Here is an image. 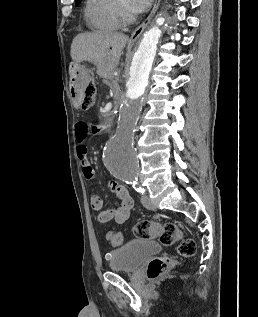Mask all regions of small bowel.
Returning a JSON list of instances; mask_svg holds the SVG:
<instances>
[{
	"instance_id": "small-bowel-1",
	"label": "small bowel",
	"mask_w": 258,
	"mask_h": 317,
	"mask_svg": "<svg viewBox=\"0 0 258 317\" xmlns=\"http://www.w3.org/2000/svg\"><path fill=\"white\" fill-rule=\"evenodd\" d=\"M102 129L103 126L101 125H89L85 121H78L75 125V137L77 141L76 153L81 162L83 176L87 180H92L95 177V171L87 157V147L84 142L90 131L97 133ZM108 189L119 198L120 203L115 206L104 208L103 199L98 194H94L91 198V206L94 210L99 211L98 221L100 223L115 221L118 224H122L129 218L134 206V200L130 196L128 190L116 182L110 183Z\"/></svg>"
}]
</instances>
